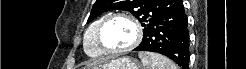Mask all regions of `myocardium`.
Instances as JSON below:
<instances>
[{"instance_id":"f54148a6","label":"myocardium","mask_w":246,"mask_h":69,"mask_svg":"<svg viewBox=\"0 0 246 69\" xmlns=\"http://www.w3.org/2000/svg\"><path fill=\"white\" fill-rule=\"evenodd\" d=\"M116 18H122V19L128 20L133 25L134 30H135V38L133 42L130 45L124 48H120V49L109 48L103 43L102 37H101L102 32L107 26V24ZM142 37H143V29H142L141 23L136 17L128 13H112V14L107 15L102 20V22L99 24L96 30V40H97L98 45L100 46V48L102 49L104 53H107L110 55H120V54H123L127 51L134 49L141 42Z\"/></svg>"}]
</instances>
